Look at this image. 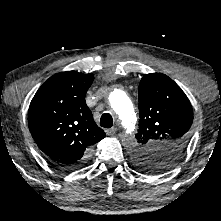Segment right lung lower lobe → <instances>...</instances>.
<instances>
[{"instance_id": "1", "label": "right lung lower lobe", "mask_w": 221, "mask_h": 221, "mask_svg": "<svg viewBox=\"0 0 221 221\" xmlns=\"http://www.w3.org/2000/svg\"><path fill=\"white\" fill-rule=\"evenodd\" d=\"M85 162V160L83 161H79L78 163H74V164H59V163H54V165L60 167V168H63V169H72V168H75V167H78L79 165L83 164Z\"/></svg>"}]
</instances>
